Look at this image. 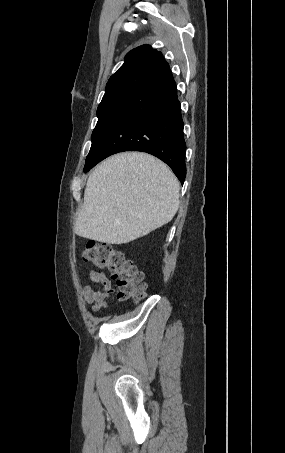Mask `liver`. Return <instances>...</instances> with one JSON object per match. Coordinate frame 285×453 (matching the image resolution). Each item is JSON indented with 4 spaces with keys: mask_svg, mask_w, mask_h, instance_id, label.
<instances>
[{
    "mask_svg": "<svg viewBox=\"0 0 285 453\" xmlns=\"http://www.w3.org/2000/svg\"><path fill=\"white\" fill-rule=\"evenodd\" d=\"M179 192L177 178L159 159L141 152L111 156L88 178L74 233L109 244L131 242L172 220Z\"/></svg>",
    "mask_w": 285,
    "mask_h": 453,
    "instance_id": "obj_1",
    "label": "liver"
}]
</instances>
